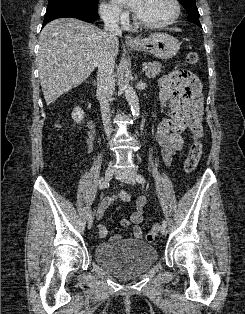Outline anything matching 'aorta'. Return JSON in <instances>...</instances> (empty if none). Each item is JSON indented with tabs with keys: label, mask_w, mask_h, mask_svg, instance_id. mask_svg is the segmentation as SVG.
I'll return each instance as SVG.
<instances>
[{
	"label": "aorta",
	"mask_w": 245,
	"mask_h": 314,
	"mask_svg": "<svg viewBox=\"0 0 245 314\" xmlns=\"http://www.w3.org/2000/svg\"><path fill=\"white\" fill-rule=\"evenodd\" d=\"M126 100L131 108L132 114L138 116L139 114V100L135 90L130 86L128 81H124L122 85Z\"/></svg>",
	"instance_id": "1"
}]
</instances>
